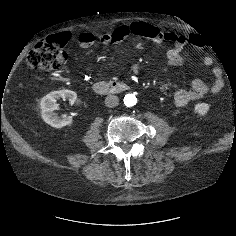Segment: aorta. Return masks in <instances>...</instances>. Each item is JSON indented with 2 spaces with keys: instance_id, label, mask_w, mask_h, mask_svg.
<instances>
[{
  "instance_id": "aorta-1",
  "label": "aorta",
  "mask_w": 236,
  "mask_h": 236,
  "mask_svg": "<svg viewBox=\"0 0 236 236\" xmlns=\"http://www.w3.org/2000/svg\"><path fill=\"white\" fill-rule=\"evenodd\" d=\"M123 101H124L125 106L132 107V106L136 105L137 98H136V96L134 94H126L124 96V100Z\"/></svg>"
}]
</instances>
